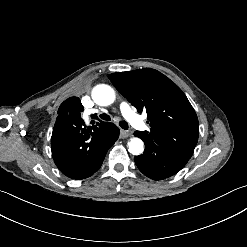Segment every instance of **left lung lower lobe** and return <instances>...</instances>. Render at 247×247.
<instances>
[{"label": "left lung lower lobe", "mask_w": 247, "mask_h": 247, "mask_svg": "<svg viewBox=\"0 0 247 247\" xmlns=\"http://www.w3.org/2000/svg\"><path fill=\"white\" fill-rule=\"evenodd\" d=\"M134 135L141 138L145 143L144 153L136 156L134 161L138 169L151 179L162 180L173 176L190 159L167 147L156 144L152 139L145 137L139 131L134 132Z\"/></svg>", "instance_id": "1"}]
</instances>
